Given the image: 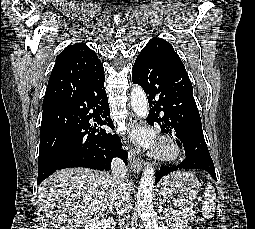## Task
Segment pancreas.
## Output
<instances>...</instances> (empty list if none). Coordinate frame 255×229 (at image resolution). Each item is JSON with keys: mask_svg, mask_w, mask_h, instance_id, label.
I'll return each mask as SVG.
<instances>
[{"mask_svg": "<svg viewBox=\"0 0 255 229\" xmlns=\"http://www.w3.org/2000/svg\"><path fill=\"white\" fill-rule=\"evenodd\" d=\"M195 218L193 211L177 212L168 214L166 217L167 229H185Z\"/></svg>", "mask_w": 255, "mask_h": 229, "instance_id": "obj_1", "label": "pancreas"}]
</instances>
